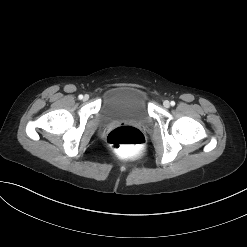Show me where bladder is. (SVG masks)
I'll use <instances>...</instances> for the list:
<instances>
[{
	"instance_id": "obj_1",
	"label": "bladder",
	"mask_w": 247,
	"mask_h": 247,
	"mask_svg": "<svg viewBox=\"0 0 247 247\" xmlns=\"http://www.w3.org/2000/svg\"><path fill=\"white\" fill-rule=\"evenodd\" d=\"M150 119L147 93L134 86H117L108 89L100 102L97 123L105 126L117 121L145 124Z\"/></svg>"
}]
</instances>
